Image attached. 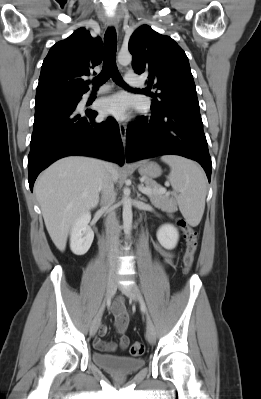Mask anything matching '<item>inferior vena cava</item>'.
<instances>
[{
  "instance_id": "602c4592",
  "label": "inferior vena cava",
  "mask_w": 261,
  "mask_h": 399,
  "mask_svg": "<svg viewBox=\"0 0 261 399\" xmlns=\"http://www.w3.org/2000/svg\"><path fill=\"white\" fill-rule=\"evenodd\" d=\"M101 205L107 210L105 220L107 232L108 261L110 271L118 267L119 254V224L114 210L115 194L112 176L106 172L101 183Z\"/></svg>"
}]
</instances>
